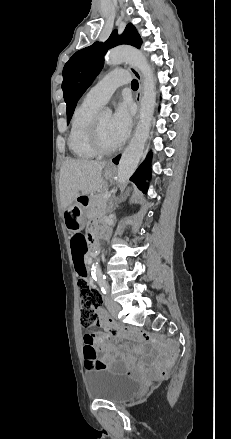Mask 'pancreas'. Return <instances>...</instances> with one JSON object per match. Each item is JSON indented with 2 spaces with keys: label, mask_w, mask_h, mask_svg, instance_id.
<instances>
[{
  "label": "pancreas",
  "mask_w": 231,
  "mask_h": 439,
  "mask_svg": "<svg viewBox=\"0 0 231 439\" xmlns=\"http://www.w3.org/2000/svg\"><path fill=\"white\" fill-rule=\"evenodd\" d=\"M106 199L103 198V194L99 193L92 196L89 200L88 207L85 212L89 219H93L101 216L106 209Z\"/></svg>",
  "instance_id": "obj_1"
}]
</instances>
